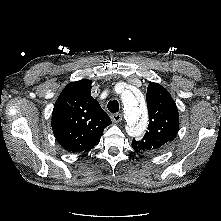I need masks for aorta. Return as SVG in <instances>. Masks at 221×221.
<instances>
[{"label": "aorta", "instance_id": "obj_1", "mask_svg": "<svg viewBox=\"0 0 221 221\" xmlns=\"http://www.w3.org/2000/svg\"><path fill=\"white\" fill-rule=\"evenodd\" d=\"M127 132L131 136H140L147 127L146 107L130 91L121 94Z\"/></svg>", "mask_w": 221, "mask_h": 221}]
</instances>
